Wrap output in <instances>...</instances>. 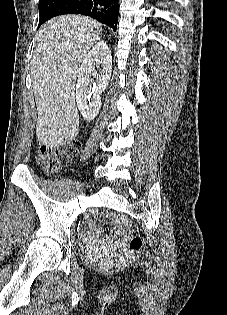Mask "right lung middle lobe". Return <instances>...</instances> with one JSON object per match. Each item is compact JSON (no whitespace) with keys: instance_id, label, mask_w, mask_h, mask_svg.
Segmentation results:
<instances>
[{"instance_id":"1","label":"right lung middle lobe","mask_w":227,"mask_h":315,"mask_svg":"<svg viewBox=\"0 0 227 315\" xmlns=\"http://www.w3.org/2000/svg\"><path fill=\"white\" fill-rule=\"evenodd\" d=\"M61 0H40L39 1V26L50 18V10L55 7Z\"/></svg>"}]
</instances>
